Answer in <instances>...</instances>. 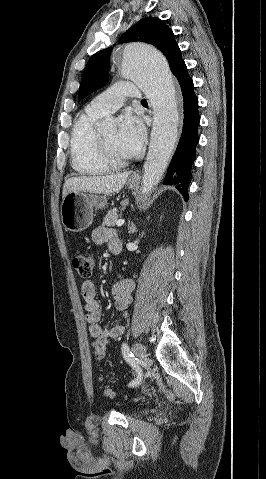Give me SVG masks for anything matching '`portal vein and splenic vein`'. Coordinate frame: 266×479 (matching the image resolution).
<instances>
[{
  "label": "portal vein and splenic vein",
  "instance_id": "1",
  "mask_svg": "<svg viewBox=\"0 0 266 479\" xmlns=\"http://www.w3.org/2000/svg\"><path fill=\"white\" fill-rule=\"evenodd\" d=\"M124 223H125V220L120 219V220L116 221V226L120 227V226H122Z\"/></svg>",
  "mask_w": 266,
  "mask_h": 479
}]
</instances>
